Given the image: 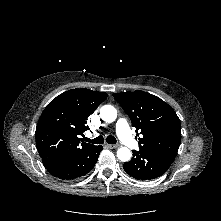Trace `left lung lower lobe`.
I'll use <instances>...</instances> for the list:
<instances>
[{"label":"left lung lower lobe","mask_w":221,"mask_h":221,"mask_svg":"<svg viewBox=\"0 0 221 221\" xmlns=\"http://www.w3.org/2000/svg\"><path fill=\"white\" fill-rule=\"evenodd\" d=\"M174 159L149 150H134L131 161L124 163L123 168L135 179L151 180L163 175Z\"/></svg>","instance_id":"obj_1"}]
</instances>
